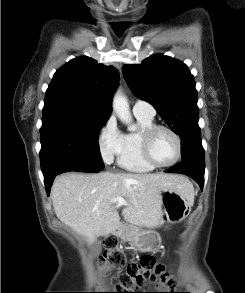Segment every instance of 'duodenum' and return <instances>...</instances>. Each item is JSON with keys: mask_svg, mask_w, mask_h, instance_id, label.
I'll return each instance as SVG.
<instances>
[{"mask_svg": "<svg viewBox=\"0 0 245 293\" xmlns=\"http://www.w3.org/2000/svg\"><path fill=\"white\" fill-rule=\"evenodd\" d=\"M116 231H117V226L116 225H113L112 228H111V231H110L111 234L112 235H116Z\"/></svg>", "mask_w": 245, "mask_h": 293, "instance_id": "duodenum-1", "label": "duodenum"}]
</instances>
